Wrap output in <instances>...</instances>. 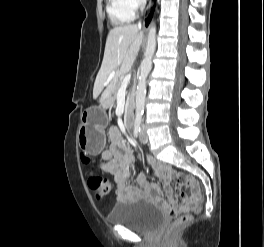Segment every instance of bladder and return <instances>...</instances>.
<instances>
[{
    "label": "bladder",
    "mask_w": 264,
    "mask_h": 247,
    "mask_svg": "<svg viewBox=\"0 0 264 247\" xmlns=\"http://www.w3.org/2000/svg\"><path fill=\"white\" fill-rule=\"evenodd\" d=\"M165 212L146 201H126L115 204L109 221L127 226L139 233H151L165 223Z\"/></svg>",
    "instance_id": "bladder-1"
}]
</instances>
